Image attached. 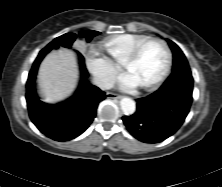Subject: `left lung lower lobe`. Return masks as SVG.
Masks as SVG:
<instances>
[{
	"instance_id": "obj_1",
	"label": "left lung lower lobe",
	"mask_w": 222,
	"mask_h": 187,
	"mask_svg": "<svg viewBox=\"0 0 222 187\" xmlns=\"http://www.w3.org/2000/svg\"><path fill=\"white\" fill-rule=\"evenodd\" d=\"M190 69L172 74L154 93L136 99V111L122 117L129 132L144 143L162 142L183 124L192 103Z\"/></svg>"
}]
</instances>
